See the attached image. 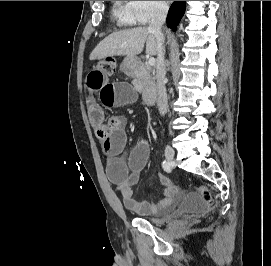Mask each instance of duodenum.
<instances>
[{"instance_id":"410a0bca","label":"duodenum","mask_w":271,"mask_h":266,"mask_svg":"<svg viewBox=\"0 0 271 266\" xmlns=\"http://www.w3.org/2000/svg\"><path fill=\"white\" fill-rule=\"evenodd\" d=\"M131 74L140 75L142 71L141 63L137 59L129 61V69ZM157 99V87L155 85L149 87L143 92V100L146 105H152Z\"/></svg>"}]
</instances>
